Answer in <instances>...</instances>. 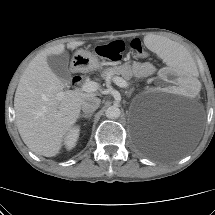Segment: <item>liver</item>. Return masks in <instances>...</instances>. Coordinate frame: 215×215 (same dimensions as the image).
I'll use <instances>...</instances> for the list:
<instances>
[{
	"label": "liver",
	"instance_id": "6515ba94",
	"mask_svg": "<svg viewBox=\"0 0 215 215\" xmlns=\"http://www.w3.org/2000/svg\"><path fill=\"white\" fill-rule=\"evenodd\" d=\"M84 43L72 41L67 48L75 49ZM64 50L65 45L58 44L37 54L23 72L14 97L16 125L23 142L32 152L45 157L59 153L79 118L82 103L94 97V93L80 90L63 91L64 84L50 69L47 56Z\"/></svg>",
	"mask_w": 215,
	"mask_h": 215
}]
</instances>
